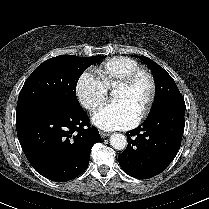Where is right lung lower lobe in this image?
Masks as SVG:
<instances>
[{
	"instance_id": "1",
	"label": "right lung lower lobe",
	"mask_w": 209,
	"mask_h": 209,
	"mask_svg": "<svg viewBox=\"0 0 209 209\" xmlns=\"http://www.w3.org/2000/svg\"><path fill=\"white\" fill-rule=\"evenodd\" d=\"M22 150L32 167L56 182L78 177L88 166L92 146L101 140L81 106L48 102L16 115Z\"/></svg>"
}]
</instances>
